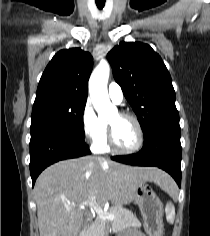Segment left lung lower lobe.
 Segmentation results:
<instances>
[{
    "label": "left lung lower lobe",
    "instance_id": "left-lung-lower-lobe-1",
    "mask_svg": "<svg viewBox=\"0 0 210 236\" xmlns=\"http://www.w3.org/2000/svg\"><path fill=\"white\" fill-rule=\"evenodd\" d=\"M144 145L137 154L115 156L113 160L134 166H155L168 172L181 185L180 126L162 123L144 135Z\"/></svg>",
    "mask_w": 210,
    "mask_h": 236
}]
</instances>
